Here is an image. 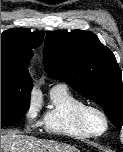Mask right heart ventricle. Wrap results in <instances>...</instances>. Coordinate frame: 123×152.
I'll return each mask as SVG.
<instances>
[{
    "label": "right heart ventricle",
    "instance_id": "1",
    "mask_svg": "<svg viewBox=\"0 0 123 152\" xmlns=\"http://www.w3.org/2000/svg\"><path fill=\"white\" fill-rule=\"evenodd\" d=\"M85 103L73 95L65 85H55L50 91V105L45 111L41 124L52 135L74 139L91 137L78 124L77 113Z\"/></svg>",
    "mask_w": 123,
    "mask_h": 152
}]
</instances>
